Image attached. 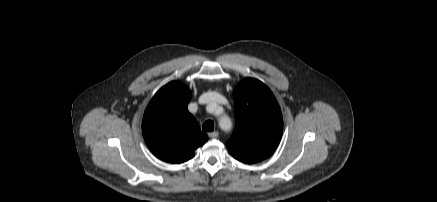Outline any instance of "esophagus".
Returning <instances> with one entry per match:
<instances>
[{"label": "esophagus", "instance_id": "esophagus-1", "mask_svg": "<svg viewBox=\"0 0 437 202\" xmlns=\"http://www.w3.org/2000/svg\"><path fill=\"white\" fill-rule=\"evenodd\" d=\"M218 135H219V133H218L217 131L210 132V133L208 134V136H209L210 138H217Z\"/></svg>", "mask_w": 437, "mask_h": 202}]
</instances>
